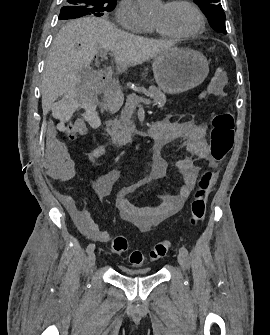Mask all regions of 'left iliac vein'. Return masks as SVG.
<instances>
[{"instance_id": "1", "label": "left iliac vein", "mask_w": 270, "mask_h": 335, "mask_svg": "<svg viewBox=\"0 0 270 335\" xmlns=\"http://www.w3.org/2000/svg\"><path fill=\"white\" fill-rule=\"evenodd\" d=\"M177 260H178L179 264L181 265V267L185 268V265H186L185 256L183 254L179 253L178 256H177Z\"/></svg>"}]
</instances>
